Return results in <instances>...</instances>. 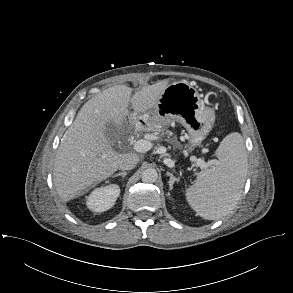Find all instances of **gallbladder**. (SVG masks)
<instances>
[{
	"label": "gallbladder",
	"instance_id": "1",
	"mask_svg": "<svg viewBox=\"0 0 293 293\" xmlns=\"http://www.w3.org/2000/svg\"><path fill=\"white\" fill-rule=\"evenodd\" d=\"M107 136L112 142H115L118 138V128H116L113 123L107 124Z\"/></svg>",
	"mask_w": 293,
	"mask_h": 293
}]
</instances>
